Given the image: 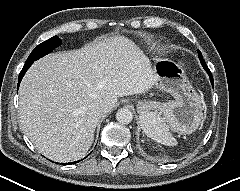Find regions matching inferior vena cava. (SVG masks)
I'll return each mask as SVG.
<instances>
[{
  "instance_id": "602c4592",
  "label": "inferior vena cava",
  "mask_w": 240,
  "mask_h": 191,
  "mask_svg": "<svg viewBox=\"0 0 240 191\" xmlns=\"http://www.w3.org/2000/svg\"><path fill=\"white\" fill-rule=\"evenodd\" d=\"M97 112L105 113L108 110V105L105 102H99L95 106Z\"/></svg>"
}]
</instances>
